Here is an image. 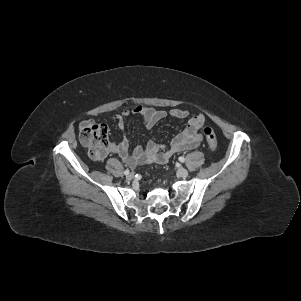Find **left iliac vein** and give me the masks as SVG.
Here are the masks:
<instances>
[{
    "label": "left iliac vein",
    "instance_id": "left-iliac-vein-1",
    "mask_svg": "<svg viewBox=\"0 0 301 301\" xmlns=\"http://www.w3.org/2000/svg\"><path fill=\"white\" fill-rule=\"evenodd\" d=\"M177 174H178L180 177L185 178V177L188 176V171H187L185 168H183V167H179V168H178V171H177Z\"/></svg>",
    "mask_w": 301,
    "mask_h": 301
}]
</instances>
